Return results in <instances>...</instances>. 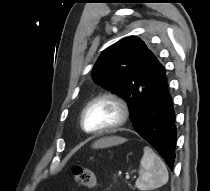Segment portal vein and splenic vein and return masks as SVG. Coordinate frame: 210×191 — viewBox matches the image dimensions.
<instances>
[{
	"label": "portal vein and splenic vein",
	"mask_w": 210,
	"mask_h": 191,
	"mask_svg": "<svg viewBox=\"0 0 210 191\" xmlns=\"http://www.w3.org/2000/svg\"><path fill=\"white\" fill-rule=\"evenodd\" d=\"M125 178H126V180H129L130 179V176L129 175H126Z\"/></svg>",
	"instance_id": "1"
}]
</instances>
